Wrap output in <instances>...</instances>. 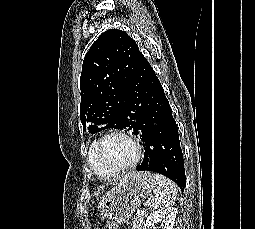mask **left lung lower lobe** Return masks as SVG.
Listing matches in <instances>:
<instances>
[{
	"label": "left lung lower lobe",
	"mask_w": 255,
	"mask_h": 229,
	"mask_svg": "<svg viewBox=\"0 0 255 229\" xmlns=\"http://www.w3.org/2000/svg\"><path fill=\"white\" fill-rule=\"evenodd\" d=\"M122 120L144 145L137 171L160 173L184 189L186 177L177 124L153 68L141 56L124 94Z\"/></svg>",
	"instance_id": "left-lung-lower-lobe-1"
}]
</instances>
